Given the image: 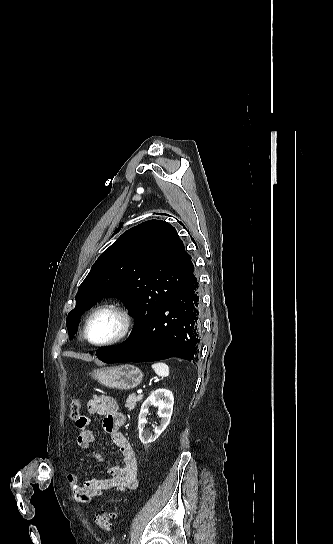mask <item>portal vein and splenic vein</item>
I'll list each match as a JSON object with an SVG mask.
<instances>
[{
  "mask_svg": "<svg viewBox=\"0 0 333 544\" xmlns=\"http://www.w3.org/2000/svg\"><path fill=\"white\" fill-rule=\"evenodd\" d=\"M142 392H143L142 389H139V390L137 391L138 394H141Z\"/></svg>",
  "mask_w": 333,
  "mask_h": 544,
  "instance_id": "obj_1",
  "label": "portal vein and splenic vein"
}]
</instances>
